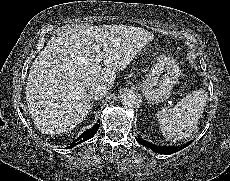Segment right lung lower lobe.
<instances>
[{"instance_id":"right-lung-lower-lobe-1","label":"right lung lower lobe","mask_w":230,"mask_h":181,"mask_svg":"<svg viewBox=\"0 0 230 181\" xmlns=\"http://www.w3.org/2000/svg\"><path fill=\"white\" fill-rule=\"evenodd\" d=\"M98 129H99V124L96 123L90 130H87L84 133H82L76 140H74L70 144V146L66 147V149L73 148L74 146H76V145H78L84 141L89 140L90 138H92L96 134Z\"/></svg>"}]
</instances>
